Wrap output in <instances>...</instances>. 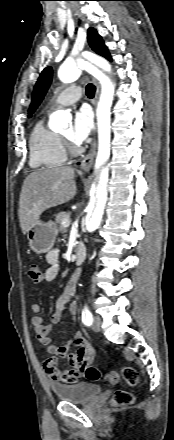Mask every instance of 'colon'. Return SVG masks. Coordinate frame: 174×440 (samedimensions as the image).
<instances>
[{"instance_id": "colon-1", "label": "colon", "mask_w": 174, "mask_h": 440, "mask_svg": "<svg viewBox=\"0 0 174 440\" xmlns=\"http://www.w3.org/2000/svg\"><path fill=\"white\" fill-rule=\"evenodd\" d=\"M27 273L29 278L35 283L41 282L43 279L42 268L37 264H30L27 268ZM82 376H85L90 381H97L102 377L113 384L117 383L118 381V375L115 372H110L102 375L96 368L89 364L85 366ZM122 376L126 383L130 386H135L139 382L138 373L132 367H124L122 369ZM112 402L113 405L116 407H125L131 405L134 402V395L130 391L120 389L114 393Z\"/></svg>"}]
</instances>
